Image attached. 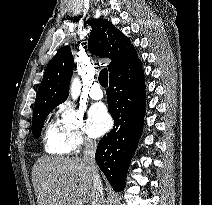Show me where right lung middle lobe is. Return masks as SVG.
Wrapping results in <instances>:
<instances>
[{
  "instance_id": "right-lung-middle-lobe-1",
  "label": "right lung middle lobe",
  "mask_w": 212,
  "mask_h": 205,
  "mask_svg": "<svg viewBox=\"0 0 212 205\" xmlns=\"http://www.w3.org/2000/svg\"><path fill=\"white\" fill-rule=\"evenodd\" d=\"M56 106L57 105H43L33 110L32 133L36 139L41 135L42 126L46 117Z\"/></svg>"
}]
</instances>
